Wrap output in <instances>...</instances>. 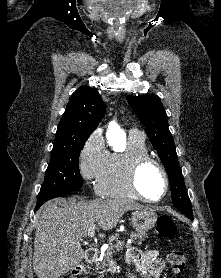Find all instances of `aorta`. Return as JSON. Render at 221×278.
Listing matches in <instances>:
<instances>
[{"mask_svg": "<svg viewBox=\"0 0 221 278\" xmlns=\"http://www.w3.org/2000/svg\"><path fill=\"white\" fill-rule=\"evenodd\" d=\"M106 137L109 145L111 146H115L118 143H125L126 141V136L124 131L115 122H111L109 124Z\"/></svg>", "mask_w": 221, "mask_h": 278, "instance_id": "1", "label": "aorta"}]
</instances>
